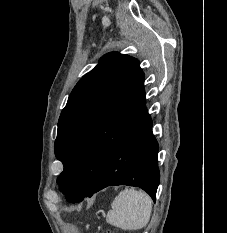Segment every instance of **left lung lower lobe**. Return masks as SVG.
<instances>
[{"mask_svg":"<svg viewBox=\"0 0 227 233\" xmlns=\"http://www.w3.org/2000/svg\"><path fill=\"white\" fill-rule=\"evenodd\" d=\"M158 148L152 133V120L146 111L113 149L95 188L69 202L82 201L110 185L138 186L155 201L160 181Z\"/></svg>","mask_w":227,"mask_h":233,"instance_id":"0a47b994","label":"left lung lower lobe"}]
</instances>
